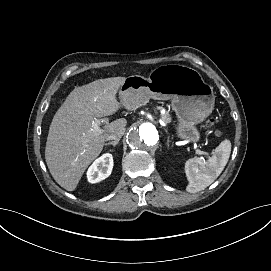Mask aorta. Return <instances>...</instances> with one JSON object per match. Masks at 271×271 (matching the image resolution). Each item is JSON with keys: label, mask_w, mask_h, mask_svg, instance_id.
<instances>
[{"label": "aorta", "mask_w": 271, "mask_h": 271, "mask_svg": "<svg viewBox=\"0 0 271 271\" xmlns=\"http://www.w3.org/2000/svg\"><path fill=\"white\" fill-rule=\"evenodd\" d=\"M158 140L159 134L155 124L142 119L133 122L126 135L129 147L141 152L152 150Z\"/></svg>", "instance_id": "762f6f07"}]
</instances>
